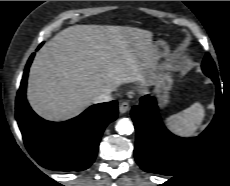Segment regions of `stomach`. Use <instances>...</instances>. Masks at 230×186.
<instances>
[{"mask_svg": "<svg viewBox=\"0 0 230 186\" xmlns=\"http://www.w3.org/2000/svg\"><path fill=\"white\" fill-rule=\"evenodd\" d=\"M157 59H162L168 55L169 47L163 40H158L155 45ZM173 76L170 72L159 68L152 76V83L155 91L160 98V104L162 107L166 106L169 102V91L173 85Z\"/></svg>", "mask_w": 230, "mask_h": 186, "instance_id": "obj_1", "label": "stomach"}]
</instances>
